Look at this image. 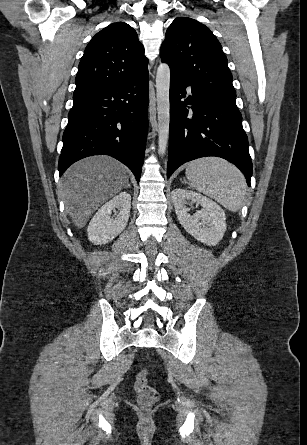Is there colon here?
<instances>
[{
  "instance_id": "colon-1",
  "label": "colon",
  "mask_w": 307,
  "mask_h": 445,
  "mask_svg": "<svg viewBox=\"0 0 307 445\" xmlns=\"http://www.w3.org/2000/svg\"><path fill=\"white\" fill-rule=\"evenodd\" d=\"M134 390L139 404L143 407H150L159 399L158 391L149 384L148 370H142L136 375Z\"/></svg>"
}]
</instances>
